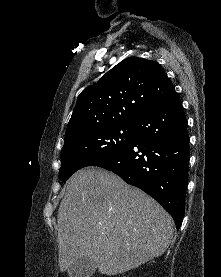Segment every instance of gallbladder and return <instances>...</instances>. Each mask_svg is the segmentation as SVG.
<instances>
[{
	"label": "gallbladder",
	"instance_id": "bac80fb5",
	"mask_svg": "<svg viewBox=\"0 0 221 277\" xmlns=\"http://www.w3.org/2000/svg\"><path fill=\"white\" fill-rule=\"evenodd\" d=\"M96 270V263L88 257L78 259L68 269L69 277H91Z\"/></svg>",
	"mask_w": 221,
	"mask_h": 277
}]
</instances>
